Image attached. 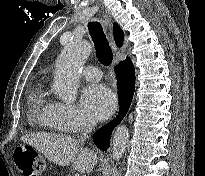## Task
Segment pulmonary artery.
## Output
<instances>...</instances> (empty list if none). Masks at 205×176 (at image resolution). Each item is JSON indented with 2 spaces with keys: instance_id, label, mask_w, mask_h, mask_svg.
I'll use <instances>...</instances> for the list:
<instances>
[{
  "instance_id": "pulmonary-artery-1",
  "label": "pulmonary artery",
  "mask_w": 205,
  "mask_h": 176,
  "mask_svg": "<svg viewBox=\"0 0 205 176\" xmlns=\"http://www.w3.org/2000/svg\"><path fill=\"white\" fill-rule=\"evenodd\" d=\"M81 75L87 80L97 81L101 78V71L96 66L87 65L82 68Z\"/></svg>"
}]
</instances>
